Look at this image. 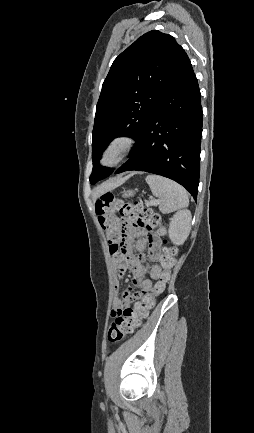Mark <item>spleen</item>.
I'll use <instances>...</instances> for the list:
<instances>
[{
    "label": "spleen",
    "mask_w": 254,
    "mask_h": 433,
    "mask_svg": "<svg viewBox=\"0 0 254 433\" xmlns=\"http://www.w3.org/2000/svg\"><path fill=\"white\" fill-rule=\"evenodd\" d=\"M152 194L159 198V210L168 214L189 204L186 190L178 183L158 175H148L145 178Z\"/></svg>",
    "instance_id": "1"
}]
</instances>
